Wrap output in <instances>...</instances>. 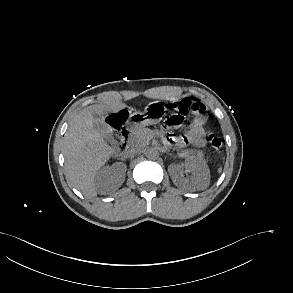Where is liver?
Listing matches in <instances>:
<instances>
[{
    "label": "liver",
    "mask_w": 293,
    "mask_h": 293,
    "mask_svg": "<svg viewBox=\"0 0 293 293\" xmlns=\"http://www.w3.org/2000/svg\"><path fill=\"white\" fill-rule=\"evenodd\" d=\"M103 106L83 109L70 123L64 137L66 179L87 197L96 196L95 176L110 159L114 148L94 126V115Z\"/></svg>",
    "instance_id": "obj_1"
}]
</instances>
